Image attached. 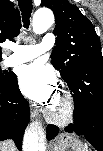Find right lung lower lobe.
I'll use <instances>...</instances> for the list:
<instances>
[{
    "instance_id": "1",
    "label": "right lung lower lobe",
    "mask_w": 103,
    "mask_h": 151,
    "mask_svg": "<svg viewBox=\"0 0 103 151\" xmlns=\"http://www.w3.org/2000/svg\"><path fill=\"white\" fill-rule=\"evenodd\" d=\"M29 110V103L18 89L17 78L12 83H0V141L11 138L21 150Z\"/></svg>"
}]
</instances>
